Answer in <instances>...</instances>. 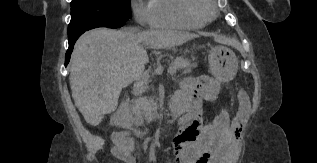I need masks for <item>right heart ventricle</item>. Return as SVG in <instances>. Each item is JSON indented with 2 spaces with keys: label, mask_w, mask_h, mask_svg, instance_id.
Here are the masks:
<instances>
[{
  "label": "right heart ventricle",
  "mask_w": 317,
  "mask_h": 163,
  "mask_svg": "<svg viewBox=\"0 0 317 163\" xmlns=\"http://www.w3.org/2000/svg\"><path fill=\"white\" fill-rule=\"evenodd\" d=\"M186 0H151L150 26L156 29L196 30L205 26L206 20L186 10Z\"/></svg>",
  "instance_id": "right-heart-ventricle-1"
}]
</instances>
